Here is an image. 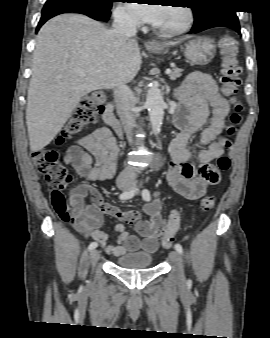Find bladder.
I'll use <instances>...</instances> for the list:
<instances>
[{"label": "bladder", "instance_id": "1", "mask_svg": "<svg viewBox=\"0 0 270 338\" xmlns=\"http://www.w3.org/2000/svg\"><path fill=\"white\" fill-rule=\"evenodd\" d=\"M153 263V255L147 253H126L121 255L116 261V265L124 269L151 268Z\"/></svg>", "mask_w": 270, "mask_h": 338}]
</instances>
